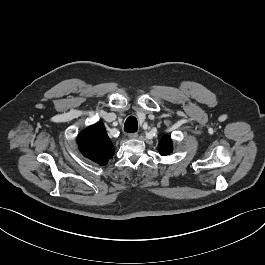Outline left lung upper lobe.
<instances>
[{"label": "left lung upper lobe", "mask_w": 265, "mask_h": 265, "mask_svg": "<svg viewBox=\"0 0 265 265\" xmlns=\"http://www.w3.org/2000/svg\"><path fill=\"white\" fill-rule=\"evenodd\" d=\"M159 152L161 155L165 156L172 152V142L170 137H164L159 144Z\"/></svg>", "instance_id": "obj_1"}]
</instances>
